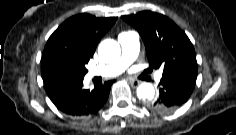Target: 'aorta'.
I'll list each match as a JSON object with an SVG mask.
<instances>
[{
	"label": "aorta",
	"instance_id": "obj_1",
	"mask_svg": "<svg viewBox=\"0 0 236 135\" xmlns=\"http://www.w3.org/2000/svg\"><path fill=\"white\" fill-rule=\"evenodd\" d=\"M98 54L103 61L107 63L114 62L120 57V45L113 39L103 40L99 44ZM137 96L139 99L152 100L155 96L154 86L150 83L140 84L137 88Z\"/></svg>",
	"mask_w": 236,
	"mask_h": 135
}]
</instances>
